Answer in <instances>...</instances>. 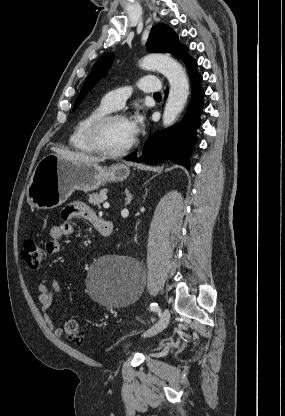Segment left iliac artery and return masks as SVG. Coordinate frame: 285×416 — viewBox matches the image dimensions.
<instances>
[{
    "instance_id": "left-iliac-artery-1",
    "label": "left iliac artery",
    "mask_w": 285,
    "mask_h": 416,
    "mask_svg": "<svg viewBox=\"0 0 285 416\" xmlns=\"http://www.w3.org/2000/svg\"><path fill=\"white\" fill-rule=\"evenodd\" d=\"M150 310L151 311H158L159 310V305L156 302H153L150 304Z\"/></svg>"
}]
</instances>
